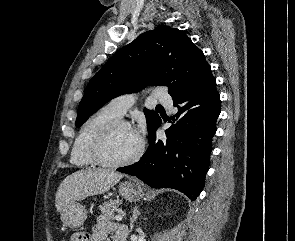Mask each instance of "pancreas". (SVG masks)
Here are the masks:
<instances>
[{"label":"pancreas","mask_w":295,"mask_h":241,"mask_svg":"<svg viewBox=\"0 0 295 241\" xmlns=\"http://www.w3.org/2000/svg\"><path fill=\"white\" fill-rule=\"evenodd\" d=\"M100 210L102 214H104L107 218L114 220V213L119 212L120 209L118 208V202L110 200L109 202H104L100 206Z\"/></svg>","instance_id":"cf45deb5"}]
</instances>
